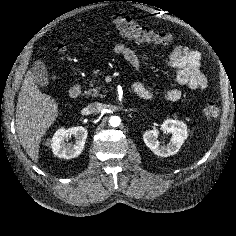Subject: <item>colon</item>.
<instances>
[{
	"instance_id": "obj_1",
	"label": "colon",
	"mask_w": 236,
	"mask_h": 236,
	"mask_svg": "<svg viewBox=\"0 0 236 236\" xmlns=\"http://www.w3.org/2000/svg\"><path fill=\"white\" fill-rule=\"evenodd\" d=\"M114 29L138 43H150L155 45L167 46L173 43V37L166 33H160L144 26L129 16L117 14L112 19ZM59 52L67 50L65 45L58 47ZM202 115L206 119H213L219 115V108L213 102H207L202 108Z\"/></svg>"
}]
</instances>
